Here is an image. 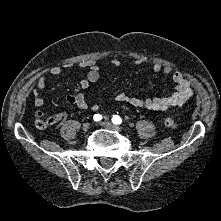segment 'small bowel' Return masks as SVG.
Here are the masks:
<instances>
[{"label": "small bowel", "mask_w": 221, "mask_h": 221, "mask_svg": "<svg viewBox=\"0 0 221 221\" xmlns=\"http://www.w3.org/2000/svg\"><path fill=\"white\" fill-rule=\"evenodd\" d=\"M111 65L119 66L120 62L116 59L110 61ZM137 65L141 64L140 60H136ZM73 66L72 63L67 65L68 68ZM77 66L82 69H88L86 76L80 82V92L68 93L65 98L71 104L76 105L81 109L91 108L93 111L99 110V105L94 104L89 106L86 96L83 90L89 88L91 85L96 83L99 79V66L97 61L94 59H85L77 63ZM151 70L154 73H163L165 76L170 77V79L175 84V91L164 97H152V98H142L137 96L129 95L125 92H120L116 95V100L122 103L129 104L135 108H141L145 110L152 111H167L173 108L181 107L192 95L193 89L190 81L180 72L173 71L170 67H164L159 63H153L151 65ZM50 73L54 76H59L64 73V69L59 66H54L51 68ZM47 82L44 76H40L36 83V88L32 89L33 102L36 107H42L44 105V99L39 94L46 88ZM42 113H38L40 117ZM66 117V114L61 112L55 115V118L60 121Z\"/></svg>", "instance_id": "small-bowel-1"}]
</instances>
